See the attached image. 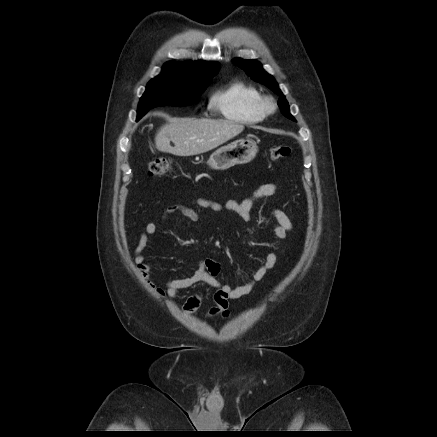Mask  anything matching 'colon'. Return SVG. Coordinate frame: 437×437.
<instances>
[{"label": "colon", "instance_id": "obj_1", "mask_svg": "<svg viewBox=\"0 0 437 437\" xmlns=\"http://www.w3.org/2000/svg\"><path fill=\"white\" fill-rule=\"evenodd\" d=\"M292 148L287 145H278L270 149V157L278 160L292 154ZM172 161L167 157H158L153 159L148 165V173L151 176H162L170 172Z\"/></svg>", "mask_w": 437, "mask_h": 437}]
</instances>
